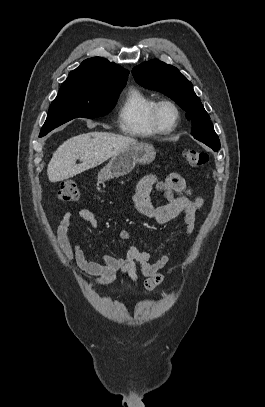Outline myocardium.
I'll use <instances>...</instances> for the list:
<instances>
[{"label": "myocardium", "instance_id": "obj_1", "mask_svg": "<svg viewBox=\"0 0 265 407\" xmlns=\"http://www.w3.org/2000/svg\"><path fill=\"white\" fill-rule=\"evenodd\" d=\"M165 107H169L174 112V120L169 126H165L161 120V113ZM180 109L178 105L169 99H163L155 103L151 112V121L155 130L160 134H169L175 130L180 120Z\"/></svg>", "mask_w": 265, "mask_h": 407}]
</instances>
